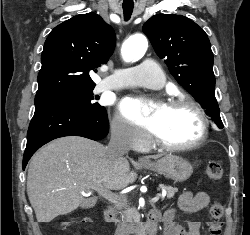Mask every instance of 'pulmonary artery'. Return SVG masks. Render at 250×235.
<instances>
[{
	"label": "pulmonary artery",
	"instance_id": "e3ab8cb5",
	"mask_svg": "<svg viewBox=\"0 0 250 235\" xmlns=\"http://www.w3.org/2000/svg\"><path fill=\"white\" fill-rule=\"evenodd\" d=\"M164 82V74L156 63L147 60L134 68L116 71L111 77L105 78L102 85L108 89L131 86L159 89L164 85Z\"/></svg>",
	"mask_w": 250,
	"mask_h": 235
}]
</instances>
